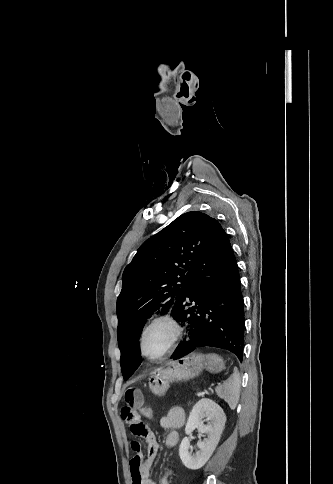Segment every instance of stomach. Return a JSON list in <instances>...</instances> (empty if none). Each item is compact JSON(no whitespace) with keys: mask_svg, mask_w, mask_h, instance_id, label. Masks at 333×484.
Returning <instances> with one entry per match:
<instances>
[{"mask_svg":"<svg viewBox=\"0 0 333 484\" xmlns=\"http://www.w3.org/2000/svg\"><path fill=\"white\" fill-rule=\"evenodd\" d=\"M224 368L225 363L218 355L190 353L154 369L149 376V388L154 395L162 397L172 381L189 380L199 375L203 369L218 373Z\"/></svg>","mask_w":333,"mask_h":484,"instance_id":"stomach-1","label":"stomach"}]
</instances>
